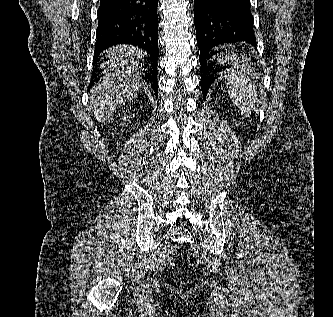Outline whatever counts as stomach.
Wrapping results in <instances>:
<instances>
[{"label": "stomach", "mask_w": 333, "mask_h": 317, "mask_svg": "<svg viewBox=\"0 0 333 317\" xmlns=\"http://www.w3.org/2000/svg\"><path fill=\"white\" fill-rule=\"evenodd\" d=\"M218 52L224 55H213V62H249V55H236L239 45H218ZM222 82H250V81H222Z\"/></svg>", "instance_id": "stomach-1"}]
</instances>
